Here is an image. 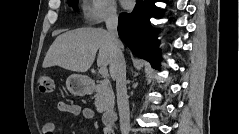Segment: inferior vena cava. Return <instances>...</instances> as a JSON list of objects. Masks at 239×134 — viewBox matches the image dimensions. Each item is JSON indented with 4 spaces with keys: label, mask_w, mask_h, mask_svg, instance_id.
Instances as JSON below:
<instances>
[{
    "label": "inferior vena cava",
    "mask_w": 239,
    "mask_h": 134,
    "mask_svg": "<svg viewBox=\"0 0 239 134\" xmlns=\"http://www.w3.org/2000/svg\"><path fill=\"white\" fill-rule=\"evenodd\" d=\"M118 16L116 9L109 10L106 27L113 45V61L110 64V74L116 80L117 105L120 117L121 134H129L130 109L126 89V63L121 51V42L117 33Z\"/></svg>",
    "instance_id": "1"
}]
</instances>
